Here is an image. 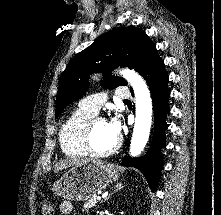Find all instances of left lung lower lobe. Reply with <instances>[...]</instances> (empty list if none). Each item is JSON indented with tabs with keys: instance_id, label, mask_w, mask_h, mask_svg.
<instances>
[{
	"instance_id": "left-lung-lower-lobe-1",
	"label": "left lung lower lobe",
	"mask_w": 221,
	"mask_h": 215,
	"mask_svg": "<svg viewBox=\"0 0 221 215\" xmlns=\"http://www.w3.org/2000/svg\"><path fill=\"white\" fill-rule=\"evenodd\" d=\"M152 95L154 106V136L152 147L148 154L142 158H130L125 156L122 165L135 167L146 176L152 190H155L163 166L160 158L161 146L165 144L164 130L167 128L166 115L170 111L168 99V75L165 71L163 60L153 64L143 75Z\"/></svg>"
}]
</instances>
